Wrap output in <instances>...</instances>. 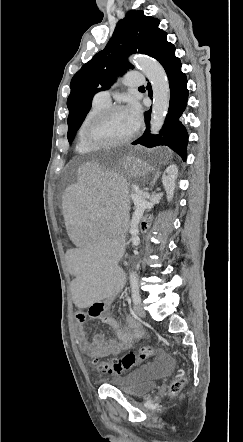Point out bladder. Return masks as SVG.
Returning a JSON list of instances; mask_svg holds the SVG:
<instances>
[{"instance_id": "obj_1", "label": "bladder", "mask_w": 243, "mask_h": 442, "mask_svg": "<svg viewBox=\"0 0 243 442\" xmlns=\"http://www.w3.org/2000/svg\"><path fill=\"white\" fill-rule=\"evenodd\" d=\"M172 361L166 356H159L154 361L141 365L122 377L107 381L130 397H140L151 391L156 381L170 372Z\"/></svg>"}]
</instances>
